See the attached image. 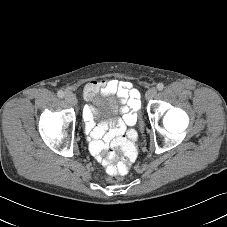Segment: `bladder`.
<instances>
[{
    "label": "bladder",
    "instance_id": "bladder-1",
    "mask_svg": "<svg viewBox=\"0 0 227 227\" xmlns=\"http://www.w3.org/2000/svg\"><path fill=\"white\" fill-rule=\"evenodd\" d=\"M97 101L99 102V104H102L103 103V98L102 97H99Z\"/></svg>",
    "mask_w": 227,
    "mask_h": 227
}]
</instances>
